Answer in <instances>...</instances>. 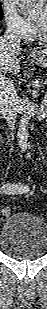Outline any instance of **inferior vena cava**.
<instances>
[{"label":"inferior vena cava","instance_id":"602c4592","mask_svg":"<svg viewBox=\"0 0 47 309\" xmlns=\"http://www.w3.org/2000/svg\"><path fill=\"white\" fill-rule=\"evenodd\" d=\"M4 39L9 43L19 46L20 40L17 30L13 25H8L4 35ZM0 107L1 113L10 126H14L17 116V105L19 97L12 82L2 81L0 88Z\"/></svg>","mask_w":47,"mask_h":309}]
</instances>
